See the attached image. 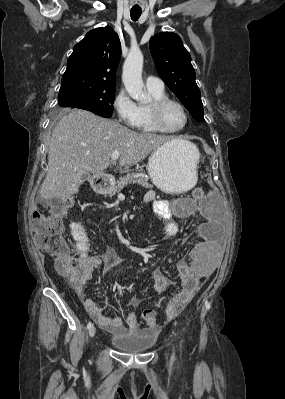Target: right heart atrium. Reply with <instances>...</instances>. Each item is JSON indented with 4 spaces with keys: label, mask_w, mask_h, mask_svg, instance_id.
I'll return each instance as SVG.
<instances>
[{
    "label": "right heart atrium",
    "mask_w": 285,
    "mask_h": 399,
    "mask_svg": "<svg viewBox=\"0 0 285 399\" xmlns=\"http://www.w3.org/2000/svg\"><path fill=\"white\" fill-rule=\"evenodd\" d=\"M113 109L117 118L128 127L137 124V105L125 90H120L113 100Z\"/></svg>",
    "instance_id": "obj_1"
}]
</instances>
